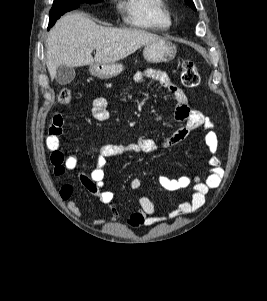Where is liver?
I'll return each instance as SVG.
<instances>
[{"mask_svg":"<svg viewBox=\"0 0 267 301\" xmlns=\"http://www.w3.org/2000/svg\"><path fill=\"white\" fill-rule=\"evenodd\" d=\"M158 39V35L144 30L107 28L97 25L84 13H69L49 32L47 69L53 80L60 65L73 68L115 63ZM93 50H96L94 58Z\"/></svg>","mask_w":267,"mask_h":301,"instance_id":"1","label":"liver"}]
</instances>
